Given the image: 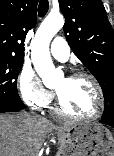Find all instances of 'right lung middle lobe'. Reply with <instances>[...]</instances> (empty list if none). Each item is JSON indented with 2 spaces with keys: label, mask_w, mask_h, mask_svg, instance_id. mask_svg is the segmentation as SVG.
<instances>
[{
  "label": "right lung middle lobe",
  "mask_w": 114,
  "mask_h": 156,
  "mask_svg": "<svg viewBox=\"0 0 114 156\" xmlns=\"http://www.w3.org/2000/svg\"><path fill=\"white\" fill-rule=\"evenodd\" d=\"M24 59L0 58V104L22 106L17 92V78Z\"/></svg>",
  "instance_id": "right-lung-middle-lobe-1"
}]
</instances>
